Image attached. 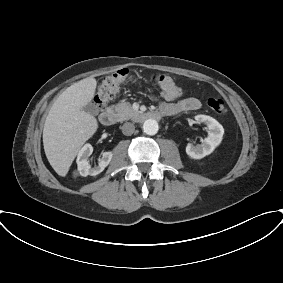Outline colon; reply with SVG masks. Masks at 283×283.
I'll use <instances>...</instances> for the list:
<instances>
[{"instance_id": "1", "label": "colon", "mask_w": 283, "mask_h": 283, "mask_svg": "<svg viewBox=\"0 0 283 283\" xmlns=\"http://www.w3.org/2000/svg\"><path fill=\"white\" fill-rule=\"evenodd\" d=\"M125 75L126 70L121 69L103 79L94 98L99 108H103L113 98L118 84L124 79ZM156 81L165 97L176 98L180 95V88L169 76L159 75L156 77ZM207 105L218 114H222L226 110L225 103L220 97H210L207 100Z\"/></svg>"}]
</instances>
